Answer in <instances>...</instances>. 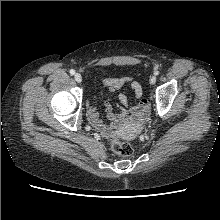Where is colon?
Segmentation results:
<instances>
[{
	"label": "colon",
	"instance_id": "colon-1",
	"mask_svg": "<svg viewBox=\"0 0 220 220\" xmlns=\"http://www.w3.org/2000/svg\"><path fill=\"white\" fill-rule=\"evenodd\" d=\"M112 151L119 156H130L133 153V147L127 142L113 138L110 140Z\"/></svg>",
	"mask_w": 220,
	"mask_h": 220
}]
</instances>
